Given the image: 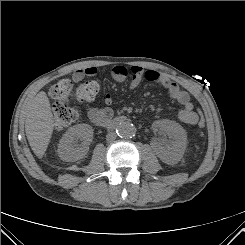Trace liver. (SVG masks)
I'll return each instance as SVG.
<instances>
[{"instance_id":"obj_1","label":"liver","mask_w":245,"mask_h":245,"mask_svg":"<svg viewBox=\"0 0 245 245\" xmlns=\"http://www.w3.org/2000/svg\"><path fill=\"white\" fill-rule=\"evenodd\" d=\"M25 132L29 145L38 158H42L54 129V118L49 99L44 91L39 92L25 111Z\"/></svg>"}]
</instances>
